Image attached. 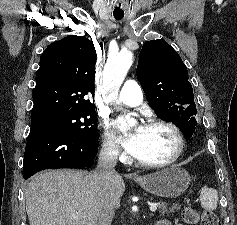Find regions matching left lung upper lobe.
Masks as SVG:
<instances>
[{"label":"left lung upper lobe","instance_id":"obj_1","mask_svg":"<svg viewBox=\"0 0 237 225\" xmlns=\"http://www.w3.org/2000/svg\"><path fill=\"white\" fill-rule=\"evenodd\" d=\"M137 78L159 118L173 122L184 135L196 130L197 113L188 71L164 40L147 41L141 50Z\"/></svg>","mask_w":237,"mask_h":225}]
</instances>
